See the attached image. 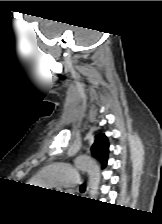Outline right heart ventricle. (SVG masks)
<instances>
[{"label": "right heart ventricle", "instance_id": "right-heart-ventricle-1", "mask_svg": "<svg viewBox=\"0 0 162 224\" xmlns=\"http://www.w3.org/2000/svg\"><path fill=\"white\" fill-rule=\"evenodd\" d=\"M31 184L35 185V186H42V185H44V183L40 180V178L39 179H32L31 180Z\"/></svg>", "mask_w": 162, "mask_h": 224}]
</instances>
